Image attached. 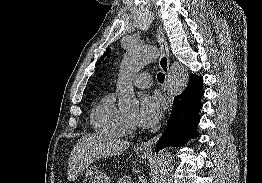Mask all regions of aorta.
Listing matches in <instances>:
<instances>
[{"label": "aorta", "instance_id": "762f6f07", "mask_svg": "<svg viewBox=\"0 0 262 183\" xmlns=\"http://www.w3.org/2000/svg\"><path fill=\"white\" fill-rule=\"evenodd\" d=\"M158 49L154 46H134L127 50L121 64L124 77L138 73L144 66L155 61ZM189 75L187 70L179 63L174 62L168 75V93L171 96L181 94L187 87ZM119 107L123 110H132L138 106V100L133 87L123 80L117 86ZM172 170V158L167 149L158 153L154 167L155 183H164Z\"/></svg>", "mask_w": 262, "mask_h": 183}]
</instances>
